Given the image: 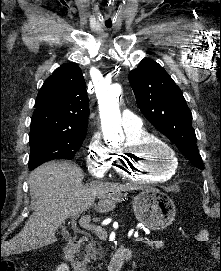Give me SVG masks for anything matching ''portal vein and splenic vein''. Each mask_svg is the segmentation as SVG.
<instances>
[{"label":"portal vein and splenic vein","mask_w":221,"mask_h":271,"mask_svg":"<svg viewBox=\"0 0 221 271\" xmlns=\"http://www.w3.org/2000/svg\"><path fill=\"white\" fill-rule=\"evenodd\" d=\"M78 215H72V217H78ZM89 221L90 217H86V215H83V217H80L79 219L81 227H85V229H93L91 232L93 234L97 233L98 238H105L106 229H103L102 226L90 225ZM133 240L135 242H143V237H135Z\"/></svg>","instance_id":"1"}]
</instances>
